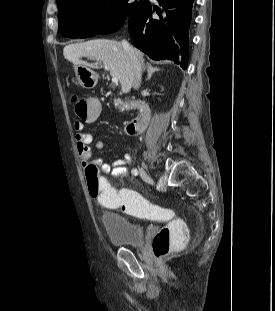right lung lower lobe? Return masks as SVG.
<instances>
[{
  "mask_svg": "<svg viewBox=\"0 0 275 311\" xmlns=\"http://www.w3.org/2000/svg\"><path fill=\"white\" fill-rule=\"evenodd\" d=\"M194 0H158L159 12L147 3L132 14L128 21L134 44L154 60H173L183 69L188 63V35ZM156 11L158 16L152 15ZM89 29L80 36H94Z\"/></svg>",
  "mask_w": 275,
  "mask_h": 311,
  "instance_id": "right-lung-lower-lobe-1",
  "label": "right lung lower lobe"
}]
</instances>
